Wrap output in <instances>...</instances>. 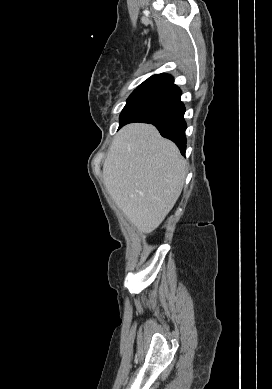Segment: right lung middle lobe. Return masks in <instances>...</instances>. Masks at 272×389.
<instances>
[{
	"mask_svg": "<svg viewBox=\"0 0 272 389\" xmlns=\"http://www.w3.org/2000/svg\"><path fill=\"white\" fill-rule=\"evenodd\" d=\"M162 87L153 84H141L139 85L129 96L127 99V103L123 108L120 114V122L125 118V116L139 103L145 100L147 97L152 95L153 93L160 90Z\"/></svg>",
	"mask_w": 272,
	"mask_h": 389,
	"instance_id": "dd1d6c3e",
	"label": "right lung middle lobe"
}]
</instances>
